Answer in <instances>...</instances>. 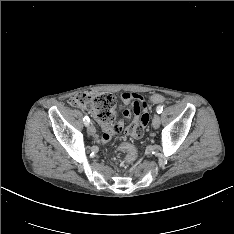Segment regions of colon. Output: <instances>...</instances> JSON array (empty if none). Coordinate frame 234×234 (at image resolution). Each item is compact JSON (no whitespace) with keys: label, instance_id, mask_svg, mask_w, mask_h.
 I'll list each match as a JSON object with an SVG mask.
<instances>
[{"label":"colon","instance_id":"1","mask_svg":"<svg viewBox=\"0 0 234 234\" xmlns=\"http://www.w3.org/2000/svg\"><path fill=\"white\" fill-rule=\"evenodd\" d=\"M148 99L153 104H162L165 101L164 96L154 93L149 94ZM69 103L74 107L89 109L99 122L112 123L114 125L115 120H120L121 125L123 124L121 119L114 116L115 98L109 93H83L73 97ZM140 120L136 125L140 123ZM100 144H102L101 150L105 148V154H116L117 152L126 154L125 162L127 164H132L136 160L137 152L128 142H120L117 147L113 146L111 148L103 143V140H100Z\"/></svg>","mask_w":234,"mask_h":234}]
</instances>
